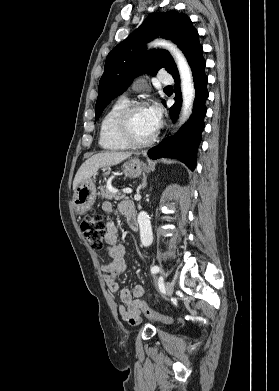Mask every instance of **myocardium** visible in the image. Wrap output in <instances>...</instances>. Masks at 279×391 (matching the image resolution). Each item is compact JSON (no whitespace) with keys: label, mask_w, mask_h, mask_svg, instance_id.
<instances>
[{"label":"myocardium","mask_w":279,"mask_h":391,"mask_svg":"<svg viewBox=\"0 0 279 391\" xmlns=\"http://www.w3.org/2000/svg\"><path fill=\"white\" fill-rule=\"evenodd\" d=\"M147 108L145 102L132 101L128 102L127 105L120 111L116 119V131L119 138L126 143L129 147L142 148L152 144L159 133L160 125H157L154 133L147 139L137 140L131 133L130 129V118L134 111Z\"/></svg>","instance_id":"1"}]
</instances>
